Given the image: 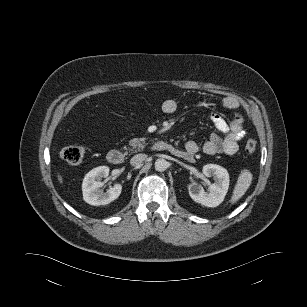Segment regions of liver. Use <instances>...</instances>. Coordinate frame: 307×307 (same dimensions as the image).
I'll use <instances>...</instances> for the list:
<instances>
[{"instance_id": "6515ba94", "label": "liver", "mask_w": 307, "mask_h": 307, "mask_svg": "<svg viewBox=\"0 0 307 307\" xmlns=\"http://www.w3.org/2000/svg\"><path fill=\"white\" fill-rule=\"evenodd\" d=\"M57 177H58L59 182H60V183H63V178H62V176L58 174Z\"/></svg>"}]
</instances>
